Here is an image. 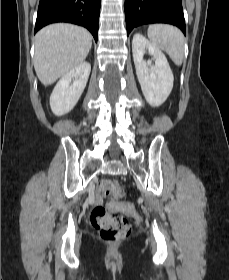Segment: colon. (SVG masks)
Instances as JSON below:
<instances>
[{
	"instance_id": "5ec220e1",
	"label": "colon",
	"mask_w": 229,
	"mask_h": 280,
	"mask_svg": "<svg viewBox=\"0 0 229 280\" xmlns=\"http://www.w3.org/2000/svg\"><path fill=\"white\" fill-rule=\"evenodd\" d=\"M100 191L104 196L116 199L122 198L125 192L117 181L110 179L100 182ZM126 209L136 214L132 206H128ZM90 219L93 227L99 231L101 238L105 241L122 239L130 233L127 219L122 215L109 213L102 205L93 208Z\"/></svg>"
}]
</instances>
